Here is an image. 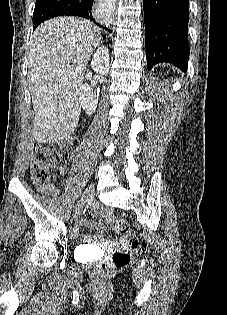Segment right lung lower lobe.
Returning a JSON list of instances; mask_svg holds the SVG:
<instances>
[{
    "instance_id": "1",
    "label": "right lung lower lobe",
    "mask_w": 227,
    "mask_h": 315,
    "mask_svg": "<svg viewBox=\"0 0 227 315\" xmlns=\"http://www.w3.org/2000/svg\"><path fill=\"white\" fill-rule=\"evenodd\" d=\"M93 0H74L57 12L56 16H79L96 23L92 16ZM99 25V23H98ZM106 30L107 28L104 27ZM111 32V30H109Z\"/></svg>"
}]
</instances>
